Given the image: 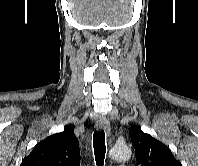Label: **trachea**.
<instances>
[{
	"instance_id": "obj_1",
	"label": "trachea",
	"mask_w": 198,
	"mask_h": 166,
	"mask_svg": "<svg viewBox=\"0 0 198 166\" xmlns=\"http://www.w3.org/2000/svg\"><path fill=\"white\" fill-rule=\"evenodd\" d=\"M93 147L96 165L103 166L106 153L105 132L103 130L94 132Z\"/></svg>"
}]
</instances>
